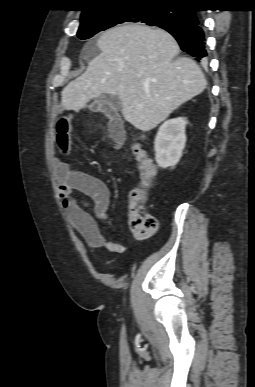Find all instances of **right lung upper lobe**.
Wrapping results in <instances>:
<instances>
[{
	"label": "right lung upper lobe",
	"instance_id": "1",
	"mask_svg": "<svg viewBox=\"0 0 255 387\" xmlns=\"http://www.w3.org/2000/svg\"><path fill=\"white\" fill-rule=\"evenodd\" d=\"M85 9L82 10L81 18L104 10L126 6H158L162 4L177 8L186 7L194 0H85Z\"/></svg>",
	"mask_w": 255,
	"mask_h": 387
}]
</instances>
